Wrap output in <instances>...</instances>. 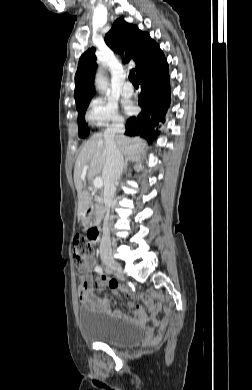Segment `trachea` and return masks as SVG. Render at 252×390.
Segmentation results:
<instances>
[{
	"label": "trachea",
	"instance_id": "trachea-1",
	"mask_svg": "<svg viewBox=\"0 0 252 390\" xmlns=\"http://www.w3.org/2000/svg\"><path fill=\"white\" fill-rule=\"evenodd\" d=\"M129 80L132 82L134 87H138V83H137V80H136V76H135V71L134 70L130 71Z\"/></svg>",
	"mask_w": 252,
	"mask_h": 390
}]
</instances>
